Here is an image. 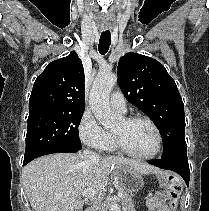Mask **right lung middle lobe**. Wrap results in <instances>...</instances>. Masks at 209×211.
I'll return each instance as SVG.
<instances>
[{"label":"right lung middle lobe","instance_id":"obj_1","mask_svg":"<svg viewBox=\"0 0 209 211\" xmlns=\"http://www.w3.org/2000/svg\"><path fill=\"white\" fill-rule=\"evenodd\" d=\"M84 111L29 114L24 163L57 148L81 149L78 133Z\"/></svg>","mask_w":209,"mask_h":211}]
</instances>
